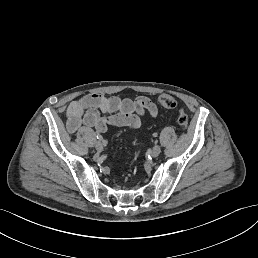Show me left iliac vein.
I'll list each match as a JSON object with an SVG mask.
<instances>
[{
	"label": "left iliac vein",
	"instance_id": "left-iliac-vein-1",
	"mask_svg": "<svg viewBox=\"0 0 258 258\" xmlns=\"http://www.w3.org/2000/svg\"><path fill=\"white\" fill-rule=\"evenodd\" d=\"M160 151H161V146L155 145L154 148L152 149V157H157Z\"/></svg>",
	"mask_w": 258,
	"mask_h": 258
}]
</instances>
